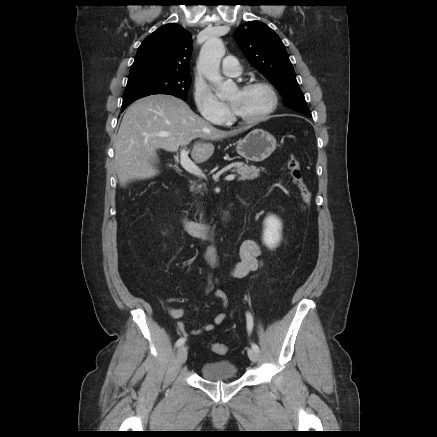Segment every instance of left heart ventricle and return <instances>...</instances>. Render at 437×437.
<instances>
[{
	"label": "left heart ventricle",
	"instance_id": "obj_1",
	"mask_svg": "<svg viewBox=\"0 0 437 437\" xmlns=\"http://www.w3.org/2000/svg\"><path fill=\"white\" fill-rule=\"evenodd\" d=\"M228 100L234 111L242 117H255L269 105L268 92L260 87L235 89Z\"/></svg>",
	"mask_w": 437,
	"mask_h": 437
}]
</instances>
